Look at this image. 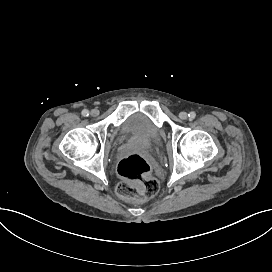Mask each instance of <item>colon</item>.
Listing matches in <instances>:
<instances>
[{
	"instance_id": "5ec220e1",
	"label": "colon",
	"mask_w": 272,
	"mask_h": 272,
	"mask_svg": "<svg viewBox=\"0 0 272 272\" xmlns=\"http://www.w3.org/2000/svg\"><path fill=\"white\" fill-rule=\"evenodd\" d=\"M150 170L149 161L140 154L122 158L117 172L126 182L118 185L117 193L135 201H144L157 194L159 181L150 175Z\"/></svg>"
}]
</instances>
